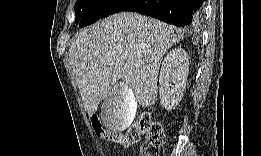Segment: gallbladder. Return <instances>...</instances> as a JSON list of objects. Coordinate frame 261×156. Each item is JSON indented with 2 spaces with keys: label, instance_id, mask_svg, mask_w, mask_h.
Masks as SVG:
<instances>
[{
  "label": "gallbladder",
  "instance_id": "1",
  "mask_svg": "<svg viewBox=\"0 0 261 156\" xmlns=\"http://www.w3.org/2000/svg\"><path fill=\"white\" fill-rule=\"evenodd\" d=\"M119 88H114L104 98L101 120L104 126L111 130H125L135 119L137 100L128 85L117 83Z\"/></svg>",
  "mask_w": 261,
  "mask_h": 156
}]
</instances>
